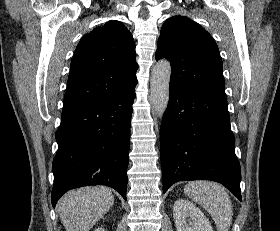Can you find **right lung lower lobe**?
<instances>
[{"mask_svg":"<svg viewBox=\"0 0 280 231\" xmlns=\"http://www.w3.org/2000/svg\"><path fill=\"white\" fill-rule=\"evenodd\" d=\"M135 91L62 111L53 160L52 205L68 190L106 185L126 200Z\"/></svg>","mask_w":280,"mask_h":231,"instance_id":"right-lung-lower-lobe-1","label":"right lung lower lobe"}]
</instances>
